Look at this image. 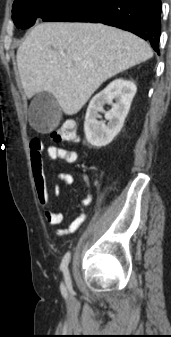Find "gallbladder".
I'll return each mask as SVG.
<instances>
[{
  "mask_svg": "<svg viewBox=\"0 0 171 337\" xmlns=\"http://www.w3.org/2000/svg\"><path fill=\"white\" fill-rule=\"evenodd\" d=\"M61 108L55 97L47 92L38 94L29 108L31 126L40 132H49L56 128L61 119Z\"/></svg>",
  "mask_w": 171,
  "mask_h": 337,
  "instance_id": "obj_1",
  "label": "gallbladder"
}]
</instances>
